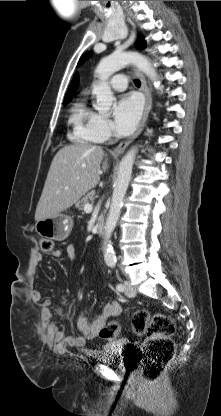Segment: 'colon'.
Returning <instances> with one entry per match:
<instances>
[{
  "label": "colon",
  "instance_id": "1",
  "mask_svg": "<svg viewBox=\"0 0 221 416\" xmlns=\"http://www.w3.org/2000/svg\"><path fill=\"white\" fill-rule=\"evenodd\" d=\"M41 250L52 253L55 243L51 239H41ZM130 330L136 335H146L140 360L141 374L147 381H156L175 352L173 335L176 332L174 321L163 313H151L146 309H139L133 313ZM121 332L118 321L106 323L99 331V335L107 340H115Z\"/></svg>",
  "mask_w": 221,
  "mask_h": 416
}]
</instances>
